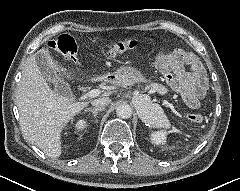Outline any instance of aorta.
I'll return each instance as SVG.
<instances>
[{
	"label": "aorta",
	"mask_w": 240,
	"mask_h": 191,
	"mask_svg": "<svg viewBox=\"0 0 240 191\" xmlns=\"http://www.w3.org/2000/svg\"><path fill=\"white\" fill-rule=\"evenodd\" d=\"M142 96L140 97H137L136 99L137 100H141L143 103V107H145L146 105V102H148L145 98H141ZM150 102V101H149ZM152 103V102H150ZM116 114L119 118H123V119H127L129 118L131 115H132V109L131 107L128 105V104H120L117 108H116Z\"/></svg>",
	"instance_id": "aorta-1"
}]
</instances>
